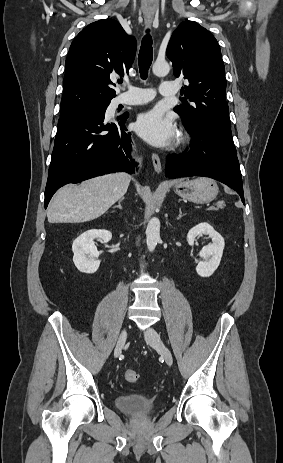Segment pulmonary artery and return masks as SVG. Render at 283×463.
<instances>
[{
  "mask_svg": "<svg viewBox=\"0 0 283 463\" xmlns=\"http://www.w3.org/2000/svg\"><path fill=\"white\" fill-rule=\"evenodd\" d=\"M129 92L117 96L115 99L116 105H136L143 104L152 100L156 93L152 89L138 88L133 85H127ZM159 94L162 96L173 97L177 94L178 87L174 82L163 81L158 88Z\"/></svg>",
  "mask_w": 283,
  "mask_h": 463,
  "instance_id": "e3ab8cb5",
  "label": "pulmonary artery"
}]
</instances>
